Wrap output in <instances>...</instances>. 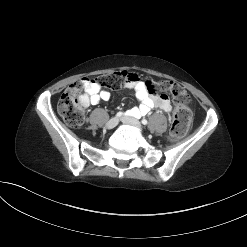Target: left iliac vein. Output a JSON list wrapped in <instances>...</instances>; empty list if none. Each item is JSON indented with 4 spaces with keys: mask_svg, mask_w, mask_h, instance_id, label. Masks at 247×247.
I'll list each match as a JSON object with an SVG mask.
<instances>
[{
    "mask_svg": "<svg viewBox=\"0 0 247 247\" xmlns=\"http://www.w3.org/2000/svg\"><path fill=\"white\" fill-rule=\"evenodd\" d=\"M122 122L125 123V124H128V125H131V126H134L136 127L139 131H142V126L140 124V122L131 117V116H124L121 118Z\"/></svg>",
    "mask_w": 247,
    "mask_h": 247,
    "instance_id": "left-iliac-vein-1",
    "label": "left iliac vein"
}]
</instances>
